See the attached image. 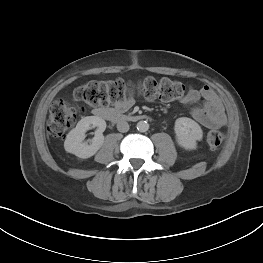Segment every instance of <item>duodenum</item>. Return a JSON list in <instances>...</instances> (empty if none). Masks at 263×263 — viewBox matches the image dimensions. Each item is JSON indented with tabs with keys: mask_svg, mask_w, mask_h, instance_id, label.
<instances>
[{
	"mask_svg": "<svg viewBox=\"0 0 263 263\" xmlns=\"http://www.w3.org/2000/svg\"><path fill=\"white\" fill-rule=\"evenodd\" d=\"M95 115L112 122L139 121L145 117L142 115H125L116 109L100 108L95 110Z\"/></svg>",
	"mask_w": 263,
	"mask_h": 263,
	"instance_id": "duodenum-1",
	"label": "duodenum"
}]
</instances>
